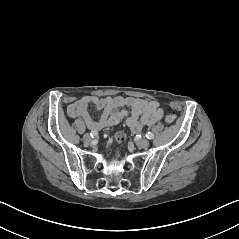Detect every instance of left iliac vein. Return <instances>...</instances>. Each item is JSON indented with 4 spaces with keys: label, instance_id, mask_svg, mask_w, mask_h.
Here are the masks:
<instances>
[{
    "label": "left iliac vein",
    "instance_id": "left-iliac-vein-1",
    "mask_svg": "<svg viewBox=\"0 0 239 239\" xmlns=\"http://www.w3.org/2000/svg\"><path fill=\"white\" fill-rule=\"evenodd\" d=\"M137 146L140 148H146L149 146V141L147 139H140L137 141Z\"/></svg>",
    "mask_w": 239,
    "mask_h": 239
}]
</instances>
